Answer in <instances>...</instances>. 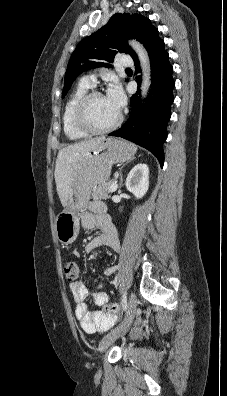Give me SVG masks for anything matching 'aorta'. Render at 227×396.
<instances>
[{"instance_id":"obj_1","label":"aorta","mask_w":227,"mask_h":396,"mask_svg":"<svg viewBox=\"0 0 227 396\" xmlns=\"http://www.w3.org/2000/svg\"><path fill=\"white\" fill-rule=\"evenodd\" d=\"M129 44L136 52L140 61L141 69L143 72L141 94L142 97H146L147 92L151 85V69H150V60L148 57V53L146 49L139 42L135 40L129 41Z\"/></svg>"}]
</instances>
